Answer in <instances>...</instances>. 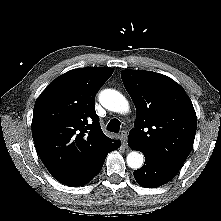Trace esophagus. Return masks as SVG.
I'll use <instances>...</instances> for the list:
<instances>
[{
    "label": "esophagus",
    "mask_w": 221,
    "mask_h": 221,
    "mask_svg": "<svg viewBox=\"0 0 221 221\" xmlns=\"http://www.w3.org/2000/svg\"><path fill=\"white\" fill-rule=\"evenodd\" d=\"M120 138H121V141L123 143V146L127 147V132L126 131H121L120 133Z\"/></svg>",
    "instance_id": "esophagus-1"
}]
</instances>
